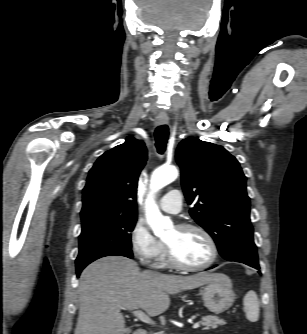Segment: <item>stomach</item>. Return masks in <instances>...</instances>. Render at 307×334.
<instances>
[{
    "label": "stomach",
    "mask_w": 307,
    "mask_h": 334,
    "mask_svg": "<svg viewBox=\"0 0 307 334\" xmlns=\"http://www.w3.org/2000/svg\"><path fill=\"white\" fill-rule=\"evenodd\" d=\"M214 280L207 283L201 291L204 305L215 314L229 309L236 298L229 277L222 273H214Z\"/></svg>",
    "instance_id": "stomach-1"
}]
</instances>
